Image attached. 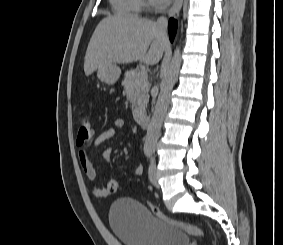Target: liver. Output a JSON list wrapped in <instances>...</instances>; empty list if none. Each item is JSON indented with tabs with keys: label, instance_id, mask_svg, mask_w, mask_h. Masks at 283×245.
I'll list each match as a JSON object with an SVG mask.
<instances>
[{
	"label": "liver",
	"instance_id": "6515ba94",
	"mask_svg": "<svg viewBox=\"0 0 283 245\" xmlns=\"http://www.w3.org/2000/svg\"><path fill=\"white\" fill-rule=\"evenodd\" d=\"M168 46L166 30L156 22L131 15L107 16L97 25L87 47L84 72L107 64L140 61L157 64Z\"/></svg>",
	"mask_w": 283,
	"mask_h": 245
}]
</instances>
